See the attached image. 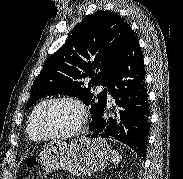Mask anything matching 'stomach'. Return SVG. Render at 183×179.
Returning a JSON list of instances; mask_svg holds the SVG:
<instances>
[{
  "instance_id": "obj_1",
  "label": "stomach",
  "mask_w": 183,
  "mask_h": 179,
  "mask_svg": "<svg viewBox=\"0 0 183 179\" xmlns=\"http://www.w3.org/2000/svg\"><path fill=\"white\" fill-rule=\"evenodd\" d=\"M111 159V149L103 139L77 138L70 144L55 140L45 145L39 155V164L45 173L67 170L75 176L102 171ZM25 179H34L29 173Z\"/></svg>"
}]
</instances>
